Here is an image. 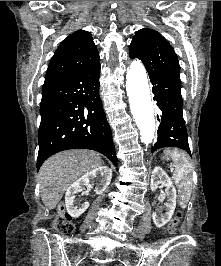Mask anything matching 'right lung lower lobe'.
<instances>
[{
    "label": "right lung lower lobe",
    "mask_w": 221,
    "mask_h": 266,
    "mask_svg": "<svg viewBox=\"0 0 221 266\" xmlns=\"http://www.w3.org/2000/svg\"><path fill=\"white\" fill-rule=\"evenodd\" d=\"M100 63L43 87L37 169L51 155L91 149L117 166V157L99 95Z\"/></svg>",
    "instance_id": "right-lung-lower-lobe-1"
}]
</instances>
